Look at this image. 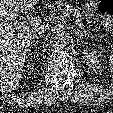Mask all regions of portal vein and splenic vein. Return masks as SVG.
Returning <instances> with one entry per match:
<instances>
[{
	"label": "portal vein and splenic vein",
	"mask_w": 113,
	"mask_h": 113,
	"mask_svg": "<svg viewBox=\"0 0 113 113\" xmlns=\"http://www.w3.org/2000/svg\"><path fill=\"white\" fill-rule=\"evenodd\" d=\"M34 21H35L34 18H30L29 21L22 20L21 22H19V25L17 26L16 29H23V30L28 29L30 24H32Z\"/></svg>",
	"instance_id": "obj_1"
}]
</instances>
